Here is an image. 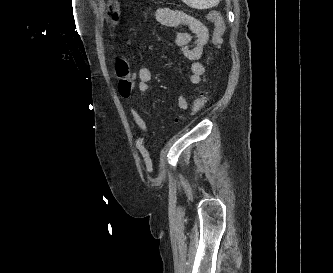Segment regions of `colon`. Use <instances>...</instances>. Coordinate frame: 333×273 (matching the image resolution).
Returning a JSON list of instances; mask_svg holds the SVG:
<instances>
[{
	"label": "colon",
	"instance_id": "obj_1",
	"mask_svg": "<svg viewBox=\"0 0 333 273\" xmlns=\"http://www.w3.org/2000/svg\"><path fill=\"white\" fill-rule=\"evenodd\" d=\"M207 19L213 24V43L218 44L225 31V23L222 16L218 12H209L207 14ZM116 76H117V86L120 95L123 98H128L131 95L133 84H134V74L130 70L129 63L125 59H118L115 63ZM207 101V92H201L198 97L194 99L190 106V113L195 114L199 112ZM180 119H176L179 122Z\"/></svg>",
	"mask_w": 333,
	"mask_h": 273
}]
</instances>
